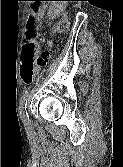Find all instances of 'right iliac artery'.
<instances>
[{
  "instance_id": "1",
  "label": "right iliac artery",
  "mask_w": 123,
  "mask_h": 167,
  "mask_svg": "<svg viewBox=\"0 0 123 167\" xmlns=\"http://www.w3.org/2000/svg\"><path fill=\"white\" fill-rule=\"evenodd\" d=\"M27 97H28V93L26 92L20 100V107H19L20 117L25 125L29 124V116L26 111Z\"/></svg>"
}]
</instances>
